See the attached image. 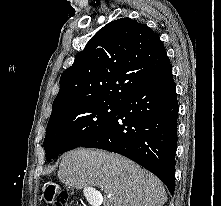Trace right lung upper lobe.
I'll return each instance as SVG.
<instances>
[{
  "instance_id": "1",
  "label": "right lung upper lobe",
  "mask_w": 221,
  "mask_h": 206,
  "mask_svg": "<svg viewBox=\"0 0 221 206\" xmlns=\"http://www.w3.org/2000/svg\"><path fill=\"white\" fill-rule=\"evenodd\" d=\"M170 65L147 25L121 18L101 28L60 78L52 114L92 103L121 104Z\"/></svg>"
}]
</instances>
